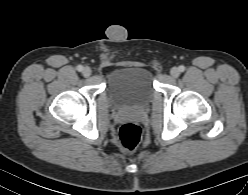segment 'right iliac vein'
<instances>
[{
  "mask_svg": "<svg viewBox=\"0 0 248 195\" xmlns=\"http://www.w3.org/2000/svg\"><path fill=\"white\" fill-rule=\"evenodd\" d=\"M82 73L85 77H89L91 75L92 71L89 67H85V68H83Z\"/></svg>",
  "mask_w": 248,
  "mask_h": 195,
  "instance_id": "right-iliac-vein-1",
  "label": "right iliac vein"
}]
</instances>
